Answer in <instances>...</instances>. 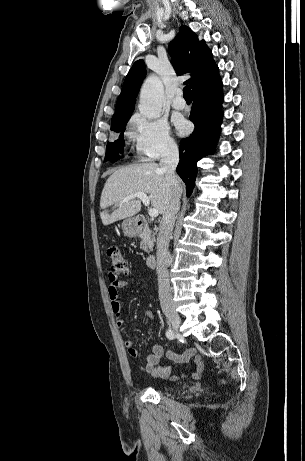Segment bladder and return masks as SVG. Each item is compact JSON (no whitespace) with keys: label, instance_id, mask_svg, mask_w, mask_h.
<instances>
[{"label":"bladder","instance_id":"1","mask_svg":"<svg viewBox=\"0 0 305 461\" xmlns=\"http://www.w3.org/2000/svg\"><path fill=\"white\" fill-rule=\"evenodd\" d=\"M167 389H171V387H166Z\"/></svg>","mask_w":305,"mask_h":461}]
</instances>
